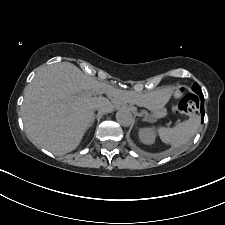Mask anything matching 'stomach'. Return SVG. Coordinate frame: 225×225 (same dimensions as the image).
<instances>
[{
	"mask_svg": "<svg viewBox=\"0 0 225 225\" xmlns=\"http://www.w3.org/2000/svg\"><path fill=\"white\" fill-rule=\"evenodd\" d=\"M170 93L167 89L154 92L147 96L144 100V107L150 109L151 111L155 112L157 110H163L164 105L169 100Z\"/></svg>",
	"mask_w": 225,
	"mask_h": 225,
	"instance_id": "stomach-1",
	"label": "stomach"
}]
</instances>
